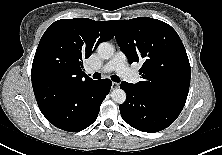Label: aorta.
I'll return each mask as SVG.
<instances>
[{"mask_svg": "<svg viewBox=\"0 0 222 155\" xmlns=\"http://www.w3.org/2000/svg\"><path fill=\"white\" fill-rule=\"evenodd\" d=\"M98 53L103 59H109L113 56L114 48L108 42H103L98 46ZM111 98L114 102L122 104L126 100V93L124 90L117 88L111 92Z\"/></svg>", "mask_w": 222, "mask_h": 155, "instance_id": "762f6f07", "label": "aorta"}]
</instances>
